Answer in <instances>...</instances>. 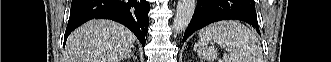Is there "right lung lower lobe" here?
<instances>
[{
	"instance_id": "98d812e1",
	"label": "right lung lower lobe",
	"mask_w": 331,
	"mask_h": 62,
	"mask_svg": "<svg viewBox=\"0 0 331 62\" xmlns=\"http://www.w3.org/2000/svg\"><path fill=\"white\" fill-rule=\"evenodd\" d=\"M150 4L146 0H72L70 18L64 40L78 26L91 19H110L129 28L145 46L148 32V12Z\"/></svg>"
}]
</instances>
